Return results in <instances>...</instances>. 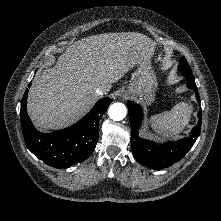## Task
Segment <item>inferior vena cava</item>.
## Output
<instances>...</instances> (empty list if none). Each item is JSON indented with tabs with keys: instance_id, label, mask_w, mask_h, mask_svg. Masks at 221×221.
Wrapping results in <instances>:
<instances>
[{
	"instance_id": "inferior-vena-cava-1",
	"label": "inferior vena cava",
	"mask_w": 221,
	"mask_h": 221,
	"mask_svg": "<svg viewBox=\"0 0 221 221\" xmlns=\"http://www.w3.org/2000/svg\"><path fill=\"white\" fill-rule=\"evenodd\" d=\"M96 96H100L104 94V91L102 89L97 88L95 91Z\"/></svg>"
}]
</instances>
